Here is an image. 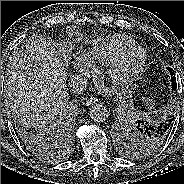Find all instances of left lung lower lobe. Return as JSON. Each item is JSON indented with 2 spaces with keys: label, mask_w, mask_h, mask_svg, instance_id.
<instances>
[{
  "label": "left lung lower lobe",
  "mask_w": 184,
  "mask_h": 184,
  "mask_svg": "<svg viewBox=\"0 0 184 184\" xmlns=\"http://www.w3.org/2000/svg\"><path fill=\"white\" fill-rule=\"evenodd\" d=\"M168 70H169L170 76H171L172 90L175 91L176 90V86H177V84H176V77H175L173 69L168 68ZM172 121H173V118H171L169 120H166V121H164V122H162L160 124H157V125H147L146 129H148L149 131H153L155 134H157L160 137L167 138V136L170 133ZM126 134H127V137L129 138V140L134 142L133 139H132V136H133L132 135V130L131 131H129V130L127 131V129H126Z\"/></svg>",
  "instance_id": "1"
}]
</instances>
